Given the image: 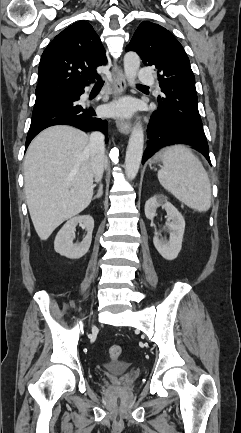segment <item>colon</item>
<instances>
[{
	"label": "colon",
	"instance_id": "obj_1",
	"mask_svg": "<svg viewBox=\"0 0 241 433\" xmlns=\"http://www.w3.org/2000/svg\"><path fill=\"white\" fill-rule=\"evenodd\" d=\"M122 354V348L118 345L111 346L109 349V357L111 360L118 359Z\"/></svg>",
	"mask_w": 241,
	"mask_h": 433
}]
</instances>
